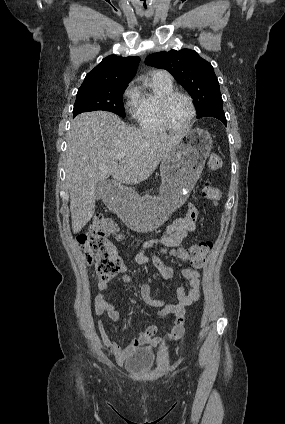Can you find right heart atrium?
Here are the masks:
<instances>
[{"label":"right heart atrium","mask_w":285,"mask_h":424,"mask_svg":"<svg viewBox=\"0 0 285 424\" xmlns=\"http://www.w3.org/2000/svg\"><path fill=\"white\" fill-rule=\"evenodd\" d=\"M124 98H125V106L126 108L133 112L135 106H136V101H137V87L135 86L134 82H131L127 88L125 89L124 93Z\"/></svg>","instance_id":"d8ad5b80"}]
</instances>
